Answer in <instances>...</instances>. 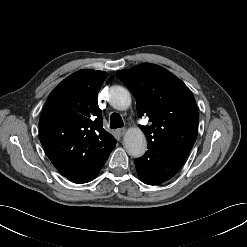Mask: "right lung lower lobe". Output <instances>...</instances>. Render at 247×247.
<instances>
[{"mask_svg": "<svg viewBox=\"0 0 247 247\" xmlns=\"http://www.w3.org/2000/svg\"><path fill=\"white\" fill-rule=\"evenodd\" d=\"M111 153V152H110ZM106 155L104 158L99 159L90 165L73 171L69 174L64 175L68 180L74 183H86L93 180L100 170L102 169L103 165L105 164L106 160L108 159L109 155Z\"/></svg>", "mask_w": 247, "mask_h": 247, "instance_id": "98d812e1", "label": "right lung lower lobe"}]
</instances>
